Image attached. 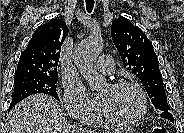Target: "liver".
I'll return each instance as SVG.
<instances>
[{
	"label": "liver",
	"mask_w": 184,
	"mask_h": 133,
	"mask_svg": "<svg viewBox=\"0 0 184 133\" xmlns=\"http://www.w3.org/2000/svg\"><path fill=\"white\" fill-rule=\"evenodd\" d=\"M5 130L6 133H88L67 124L57 100L45 94L19 102L9 112Z\"/></svg>",
	"instance_id": "6515ba94"
}]
</instances>
